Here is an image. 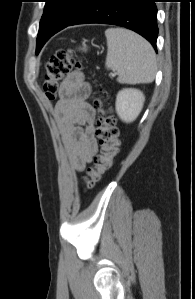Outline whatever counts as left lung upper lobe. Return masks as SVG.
Segmentation results:
<instances>
[{
	"mask_svg": "<svg viewBox=\"0 0 195 299\" xmlns=\"http://www.w3.org/2000/svg\"><path fill=\"white\" fill-rule=\"evenodd\" d=\"M46 5L40 21L36 53L49 39L51 32L69 26L83 11L89 0H45ZM55 32V33H56Z\"/></svg>",
	"mask_w": 195,
	"mask_h": 299,
	"instance_id": "1",
	"label": "left lung upper lobe"
}]
</instances>
